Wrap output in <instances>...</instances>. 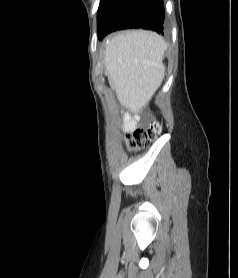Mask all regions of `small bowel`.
<instances>
[{
    "instance_id": "obj_1",
    "label": "small bowel",
    "mask_w": 238,
    "mask_h": 278,
    "mask_svg": "<svg viewBox=\"0 0 238 278\" xmlns=\"http://www.w3.org/2000/svg\"><path fill=\"white\" fill-rule=\"evenodd\" d=\"M136 123H137V120L136 119H132L130 117H124V128L128 131H131L135 128L136 126Z\"/></svg>"
}]
</instances>
